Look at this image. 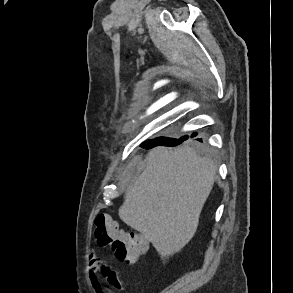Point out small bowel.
<instances>
[{"label":"small bowel","mask_w":293,"mask_h":293,"mask_svg":"<svg viewBox=\"0 0 293 293\" xmlns=\"http://www.w3.org/2000/svg\"><path fill=\"white\" fill-rule=\"evenodd\" d=\"M102 279L106 280L107 287L102 285ZM89 280L95 293H116L123 289L116 271L104 265L94 253L91 254L89 260Z\"/></svg>","instance_id":"small-bowel-1"}]
</instances>
